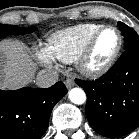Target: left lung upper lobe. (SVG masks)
<instances>
[{
	"label": "left lung upper lobe",
	"mask_w": 139,
	"mask_h": 139,
	"mask_svg": "<svg viewBox=\"0 0 139 139\" xmlns=\"http://www.w3.org/2000/svg\"><path fill=\"white\" fill-rule=\"evenodd\" d=\"M118 26L124 36L125 50L131 47L139 46V35L126 24L119 22Z\"/></svg>",
	"instance_id": "5c2ea615"
}]
</instances>
